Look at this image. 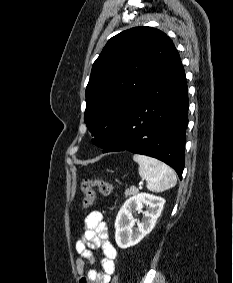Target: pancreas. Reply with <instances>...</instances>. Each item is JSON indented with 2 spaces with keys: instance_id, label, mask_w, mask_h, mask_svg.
Returning a JSON list of instances; mask_svg holds the SVG:
<instances>
[{
  "instance_id": "1",
  "label": "pancreas",
  "mask_w": 233,
  "mask_h": 283,
  "mask_svg": "<svg viewBox=\"0 0 233 283\" xmlns=\"http://www.w3.org/2000/svg\"><path fill=\"white\" fill-rule=\"evenodd\" d=\"M139 190L137 188L131 187L130 189L125 191V196H131V195H136L138 194Z\"/></svg>"
}]
</instances>
